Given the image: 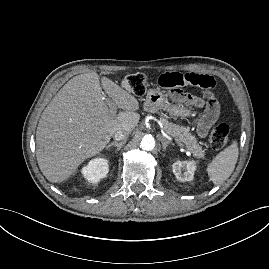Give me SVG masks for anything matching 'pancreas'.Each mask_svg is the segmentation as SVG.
<instances>
[{"instance_id":"cf45deb5","label":"pancreas","mask_w":269,"mask_h":269,"mask_svg":"<svg viewBox=\"0 0 269 269\" xmlns=\"http://www.w3.org/2000/svg\"><path fill=\"white\" fill-rule=\"evenodd\" d=\"M161 121L166 133L183 142L186 148L193 154L194 157L201 159L205 157V151L197 143L196 138L191 133H189L188 128L177 126L173 123L168 122L166 119H161Z\"/></svg>"}]
</instances>
